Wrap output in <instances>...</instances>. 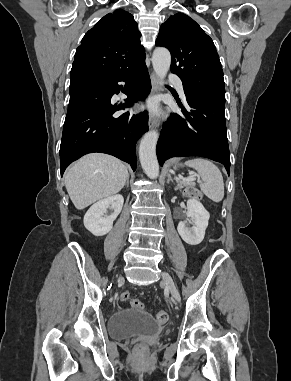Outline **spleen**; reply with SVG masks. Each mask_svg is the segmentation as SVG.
<instances>
[{"instance_id":"obj_1","label":"spleen","mask_w":291,"mask_h":381,"mask_svg":"<svg viewBox=\"0 0 291 381\" xmlns=\"http://www.w3.org/2000/svg\"><path fill=\"white\" fill-rule=\"evenodd\" d=\"M194 168L202 178L200 189L213 202H220L224 197V182L222 173L211 161L195 158L185 162Z\"/></svg>"}]
</instances>
